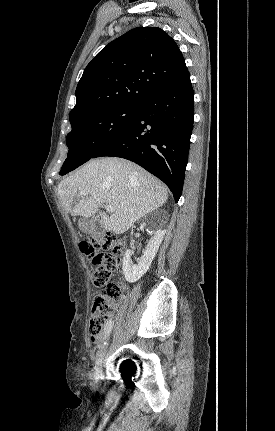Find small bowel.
<instances>
[{
    "label": "small bowel",
    "instance_id": "small-bowel-1",
    "mask_svg": "<svg viewBox=\"0 0 275 431\" xmlns=\"http://www.w3.org/2000/svg\"><path fill=\"white\" fill-rule=\"evenodd\" d=\"M104 334H105V332L102 335L98 336V337H94V338L91 337L92 342L93 343H99L101 341V339H102V337H103Z\"/></svg>",
    "mask_w": 275,
    "mask_h": 431
}]
</instances>
